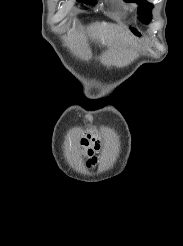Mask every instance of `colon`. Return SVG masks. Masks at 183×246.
<instances>
[{
	"mask_svg": "<svg viewBox=\"0 0 183 246\" xmlns=\"http://www.w3.org/2000/svg\"><path fill=\"white\" fill-rule=\"evenodd\" d=\"M82 145L87 153L94 152L99 148V138L95 131H89L82 138Z\"/></svg>",
	"mask_w": 183,
	"mask_h": 246,
	"instance_id": "5ec220e1",
	"label": "colon"
}]
</instances>
